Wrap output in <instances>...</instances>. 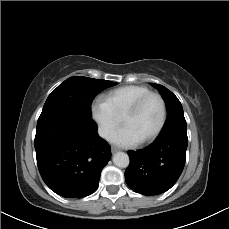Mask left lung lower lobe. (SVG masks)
<instances>
[{
    "label": "left lung lower lobe",
    "mask_w": 229,
    "mask_h": 229,
    "mask_svg": "<svg viewBox=\"0 0 229 229\" xmlns=\"http://www.w3.org/2000/svg\"><path fill=\"white\" fill-rule=\"evenodd\" d=\"M186 128H176L139 151H129L125 172L129 188L143 195H157L171 188L180 177L186 159Z\"/></svg>",
    "instance_id": "left-lung-lower-lobe-1"
}]
</instances>
